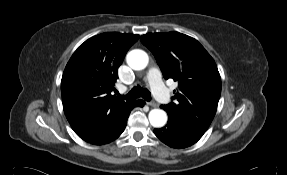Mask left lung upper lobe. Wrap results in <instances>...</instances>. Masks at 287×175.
Returning <instances> with one entry per match:
<instances>
[{"mask_svg": "<svg viewBox=\"0 0 287 175\" xmlns=\"http://www.w3.org/2000/svg\"><path fill=\"white\" fill-rule=\"evenodd\" d=\"M140 40L155 56L164 78L178 81L174 102L161 108L202 136L221 95V78L213 58L196 39L178 32L149 33Z\"/></svg>", "mask_w": 287, "mask_h": 175, "instance_id": "obj_1", "label": "left lung upper lobe"}]
</instances>
